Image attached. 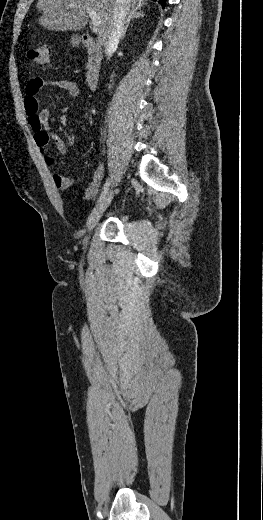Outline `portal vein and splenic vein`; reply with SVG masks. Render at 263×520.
Segmentation results:
<instances>
[{
    "label": "portal vein and splenic vein",
    "mask_w": 263,
    "mask_h": 520,
    "mask_svg": "<svg viewBox=\"0 0 263 520\" xmlns=\"http://www.w3.org/2000/svg\"><path fill=\"white\" fill-rule=\"evenodd\" d=\"M71 7H74L75 5L74 4H70ZM87 13L89 15V17L91 18V23L93 25L94 28H97L99 27L100 25V16L92 9L88 8L87 9Z\"/></svg>",
    "instance_id": "18ae733b"
}]
</instances>
